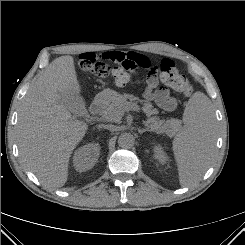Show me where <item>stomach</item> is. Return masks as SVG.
<instances>
[{"instance_id":"0dacf381","label":"stomach","mask_w":245,"mask_h":245,"mask_svg":"<svg viewBox=\"0 0 245 245\" xmlns=\"http://www.w3.org/2000/svg\"><path fill=\"white\" fill-rule=\"evenodd\" d=\"M103 94L109 99H113L116 96V93L113 90L109 89L105 90Z\"/></svg>"}]
</instances>
